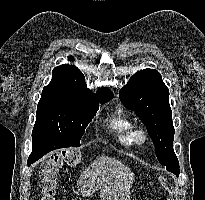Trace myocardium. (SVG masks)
<instances>
[{
	"instance_id": "obj_1",
	"label": "myocardium",
	"mask_w": 205,
	"mask_h": 200,
	"mask_svg": "<svg viewBox=\"0 0 205 200\" xmlns=\"http://www.w3.org/2000/svg\"><path fill=\"white\" fill-rule=\"evenodd\" d=\"M133 143L142 146L148 141V133L142 126L135 127L132 133Z\"/></svg>"
}]
</instances>
